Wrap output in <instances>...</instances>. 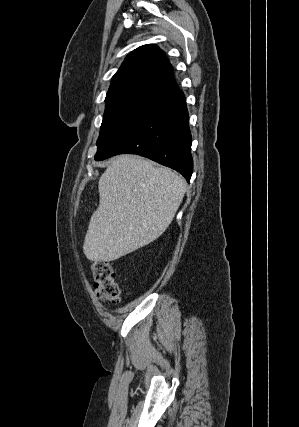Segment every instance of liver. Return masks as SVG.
<instances>
[{"instance_id":"liver-1","label":"liver","mask_w":299,"mask_h":427,"mask_svg":"<svg viewBox=\"0 0 299 427\" xmlns=\"http://www.w3.org/2000/svg\"><path fill=\"white\" fill-rule=\"evenodd\" d=\"M185 180L140 156L113 159L98 182L83 252L94 262L119 259L156 240L172 222L186 192Z\"/></svg>"}]
</instances>
